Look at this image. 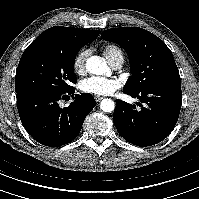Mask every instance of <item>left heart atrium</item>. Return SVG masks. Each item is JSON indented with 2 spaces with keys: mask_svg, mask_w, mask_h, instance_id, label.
I'll list each match as a JSON object with an SVG mask.
<instances>
[{
  "mask_svg": "<svg viewBox=\"0 0 199 199\" xmlns=\"http://www.w3.org/2000/svg\"><path fill=\"white\" fill-rule=\"evenodd\" d=\"M121 83L116 78L91 76L81 80L79 88L82 92L94 96H107L119 89Z\"/></svg>",
  "mask_w": 199,
  "mask_h": 199,
  "instance_id": "left-heart-atrium-1",
  "label": "left heart atrium"
}]
</instances>
